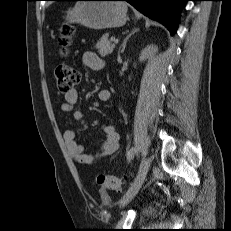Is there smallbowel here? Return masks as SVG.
I'll list each match as a JSON object with an SVG mask.
<instances>
[{
	"label": "small bowel",
	"mask_w": 231,
	"mask_h": 231,
	"mask_svg": "<svg viewBox=\"0 0 231 231\" xmlns=\"http://www.w3.org/2000/svg\"><path fill=\"white\" fill-rule=\"evenodd\" d=\"M84 65L92 70H102L105 66L104 61L93 52H85L82 57ZM64 102L60 105V111L63 113H72L75 121H81L84 118V113L79 109H74L78 102V91L72 89L64 94ZM101 102H107L110 99L108 90H101L98 94ZM104 138L101 142V150L96 155L85 153L81 144L76 141V133L73 129H66L63 132V139L69 155L78 163L93 164L98 159L113 155L120 148V134L118 129L113 124H105L102 126Z\"/></svg>",
	"instance_id": "obj_1"
}]
</instances>
